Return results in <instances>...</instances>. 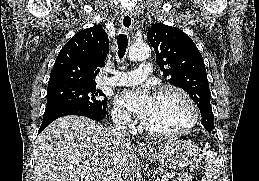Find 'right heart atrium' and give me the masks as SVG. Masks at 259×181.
I'll use <instances>...</instances> for the list:
<instances>
[{"instance_id": "d8ad5b80", "label": "right heart atrium", "mask_w": 259, "mask_h": 181, "mask_svg": "<svg viewBox=\"0 0 259 181\" xmlns=\"http://www.w3.org/2000/svg\"><path fill=\"white\" fill-rule=\"evenodd\" d=\"M112 118L116 125L120 127H131L133 125L132 118L119 108H114L112 111Z\"/></svg>"}]
</instances>
